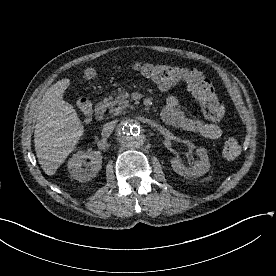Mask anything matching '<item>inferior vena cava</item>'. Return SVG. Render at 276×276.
<instances>
[{"label":"inferior vena cava","mask_w":276,"mask_h":276,"mask_svg":"<svg viewBox=\"0 0 276 276\" xmlns=\"http://www.w3.org/2000/svg\"><path fill=\"white\" fill-rule=\"evenodd\" d=\"M116 124H117V120H113V121L106 123L103 127V133L104 134L111 133L112 130L114 129V127L116 126Z\"/></svg>","instance_id":"602c4592"}]
</instances>
